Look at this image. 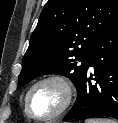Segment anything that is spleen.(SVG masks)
<instances>
[{
  "label": "spleen",
  "instance_id": "obj_1",
  "mask_svg": "<svg viewBox=\"0 0 118 123\" xmlns=\"http://www.w3.org/2000/svg\"><path fill=\"white\" fill-rule=\"evenodd\" d=\"M85 123H117V122L108 118H88L85 120Z\"/></svg>",
  "mask_w": 118,
  "mask_h": 123
}]
</instances>
